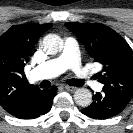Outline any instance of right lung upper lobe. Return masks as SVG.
I'll list each match as a JSON object with an SVG mask.
<instances>
[{"instance_id": "right-lung-upper-lobe-1", "label": "right lung upper lobe", "mask_w": 133, "mask_h": 133, "mask_svg": "<svg viewBox=\"0 0 133 133\" xmlns=\"http://www.w3.org/2000/svg\"><path fill=\"white\" fill-rule=\"evenodd\" d=\"M51 26H12L0 37V104L10 114L26 109L41 91L28 83L24 67L39 37Z\"/></svg>"}]
</instances>
